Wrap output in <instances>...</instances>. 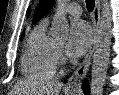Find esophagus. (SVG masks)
I'll return each instance as SVG.
<instances>
[{"label": "esophagus", "mask_w": 119, "mask_h": 95, "mask_svg": "<svg viewBox=\"0 0 119 95\" xmlns=\"http://www.w3.org/2000/svg\"><path fill=\"white\" fill-rule=\"evenodd\" d=\"M100 0H95V6L92 14V22H93V38L90 44V47L88 49V52L83 59L82 63L79 65V67L74 71V73L70 76V78L67 81L66 87L71 90H80L82 81L86 77V74L88 72L89 66L91 64L92 55L94 52V49L96 47L98 34H99V27H100Z\"/></svg>", "instance_id": "34e87169"}]
</instances>
